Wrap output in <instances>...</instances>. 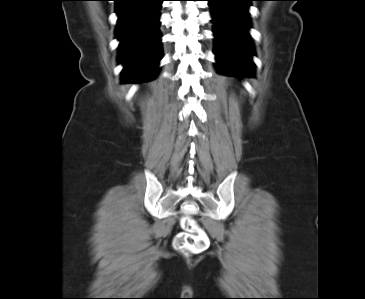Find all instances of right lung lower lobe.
I'll use <instances>...</instances> for the list:
<instances>
[{
    "instance_id": "right-lung-lower-lobe-1",
    "label": "right lung lower lobe",
    "mask_w": 365,
    "mask_h": 299,
    "mask_svg": "<svg viewBox=\"0 0 365 299\" xmlns=\"http://www.w3.org/2000/svg\"><path fill=\"white\" fill-rule=\"evenodd\" d=\"M118 15L116 38L122 82L139 83L156 77L161 59L159 9L163 0H114Z\"/></svg>"
}]
</instances>
